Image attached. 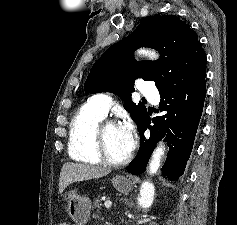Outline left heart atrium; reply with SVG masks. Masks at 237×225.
<instances>
[{"mask_svg": "<svg viewBox=\"0 0 237 225\" xmlns=\"http://www.w3.org/2000/svg\"><path fill=\"white\" fill-rule=\"evenodd\" d=\"M119 127L124 137L127 154H130L135 145V130L133 125L127 121Z\"/></svg>", "mask_w": 237, "mask_h": 225, "instance_id": "1", "label": "left heart atrium"}]
</instances>
